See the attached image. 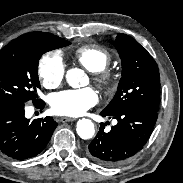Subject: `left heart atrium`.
Returning a JSON list of instances; mask_svg holds the SVG:
<instances>
[{
  "instance_id": "left-heart-atrium-1",
  "label": "left heart atrium",
  "mask_w": 183,
  "mask_h": 183,
  "mask_svg": "<svg viewBox=\"0 0 183 183\" xmlns=\"http://www.w3.org/2000/svg\"><path fill=\"white\" fill-rule=\"evenodd\" d=\"M98 95L90 87L63 90L52 95L50 103L54 113L63 116H80L96 105Z\"/></svg>"
}]
</instances>
